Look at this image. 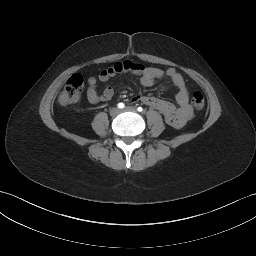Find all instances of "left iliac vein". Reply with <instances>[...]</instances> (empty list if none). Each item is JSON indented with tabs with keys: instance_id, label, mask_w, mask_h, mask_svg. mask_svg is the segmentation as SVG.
I'll list each match as a JSON object with an SVG mask.
<instances>
[{
	"instance_id": "obj_1",
	"label": "left iliac vein",
	"mask_w": 256,
	"mask_h": 256,
	"mask_svg": "<svg viewBox=\"0 0 256 256\" xmlns=\"http://www.w3.org/2000/svg\"><path fill=\"white\" fill-rule=\"evenodd\" d=\"M122 112H125V111H129V112H136V109L134 107H126L124 108L123 110H121Z\"/></svg>"
}]
</instances>
